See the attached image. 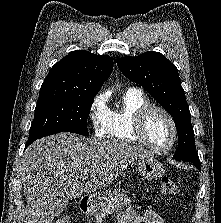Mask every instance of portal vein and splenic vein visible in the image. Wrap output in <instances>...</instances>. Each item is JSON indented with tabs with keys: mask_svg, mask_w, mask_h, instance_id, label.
<instances>
[{
	"mask_svg": "<svg viewBox=\"0 0 221 223\" xmlns=\"http://www.w3.org/2000/svg\"><path fill=\"white\" fill-rule=\"evenodd\" d=\"M88 176H82L81 180H86Z\"/></svg>",
	"mask_w": 221,
	"mask_h": 223,
	"instance_id": "portal-vein-and-splenic-vein-1",
	"label": "portal vein and splenic vein"
}]
</instances>
